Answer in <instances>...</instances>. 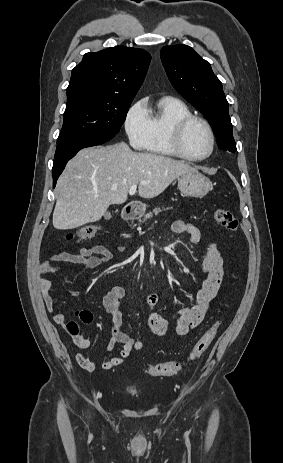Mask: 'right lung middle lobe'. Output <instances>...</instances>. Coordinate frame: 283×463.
Masks as SVG:
<instances>
[{
	"mask_svg": "<svg viewBox=\"0 0 283 463\" xmlns=\"http://www.w3.org/2000/svg\"><path fill=\"white\" fill-rule=\"evenodd\" d=\"M133 99L74 92L67 95L57 145L81 138L113 137L125 121Z\"/></svg>",
	"mask_w": 283,
	"mask_h": 463,
	"instance_id": "obj_1",
	"label": "right lung middle lobe"
}]
</instances>
